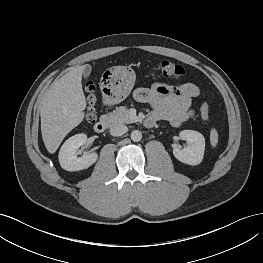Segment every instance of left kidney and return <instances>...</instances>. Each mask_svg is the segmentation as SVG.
Wrapping results in <instances>:
<instances>
[{
  "label": "left kidney",
  "mask_w": 263,
  "mask_h": 263,
  "mask_svg": "<svg viewBox=\"0 0 263 263\" xmlns=\"http://www.w3.org/2000/svg\"><path fill=\"white\" fill-rule=\"evenodd\" d=\"M179 136L182 140L186 141L187 146L183 149L174 147V157L188 165L200 164L205 151L204 136L194 130H183L179 133Z\"/></svg>",
  "instance_id": "1"
}]
</instances>
